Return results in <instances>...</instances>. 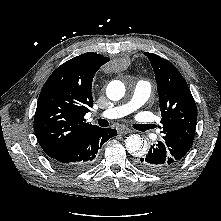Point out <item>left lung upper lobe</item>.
Returning <instances> with one entry per match:
<instances>
[{
  "label": "left lung upper lobe",
  "mask_w": 221,
  "mask_h": 221,
  "mask_svg": "<svg viewBox=\"0 0 221 221\" xmlns=\"http://www.w3.org/2000/svg\"><path fill=\"white\" fill-rule=\"evenodd\" d=\"M153 67L160 98L163 142L179 163L190 150L195 135L197 107L187 82L169 61L145 53Z\"/></svg>",
  "instance_id": "1"
}]
</instances>
